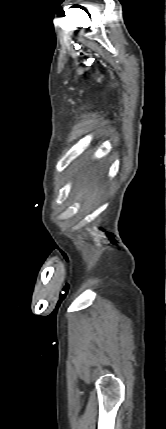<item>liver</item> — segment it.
Masks as SVG:
<instances>
[{
  "mask_svg": "<svg viewBox=\"0 0 166 429\" xmlns=\"http://www.w3.org/2000/svg\"><path fill=\"white\" fill-rule=\"evenodd\" d=\"M93 190L90 186L81 189L78 193V198L81 200H89L93 196Z\"/></svg>",
  "mask_w": 166,
  "mask_h": 429,
  "instance_id": "1",
  "label": "liver"
}]
</instances>
